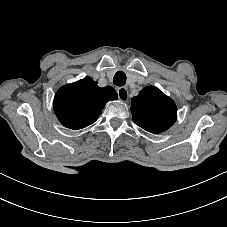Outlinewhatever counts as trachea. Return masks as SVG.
<instances>
[{
  "mask_svg": "<svg viewBox=\"0 0 227 227\" xmlns=\"http://www.w3.org/2000/svg\"><path fill=\"white\" fill-rule=\"evenodd\" d=\"M113 83L117 86H124L126 83V74L123 71H118L113 77Z\"/></svg>",
  "mask_w": 227,
  "mask_h": 227,
  "instance_id": "3493384b",
  "label": "trachea"
}]
</instances>
